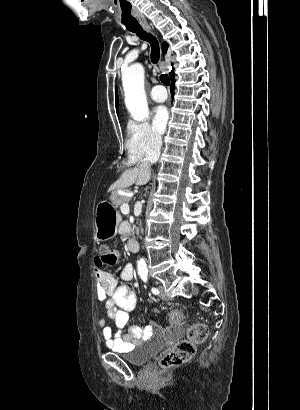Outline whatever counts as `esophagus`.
Listing matches in <instances>:
<instances>
[{
  "mask_svg": "<svg viewBox=\"0 0 300 410\" xmlns=\"http://www.w3.org/2000/svg\"><path fill=\"white\" fill-rule=\"evenodd\" d=\"M145 28H146V30H148V31H152V30H153V28H152L150 25L146 26Z\"/></svg>",
  "mask_w": 300,
  "mask_h": 410,
  "instance_id": "34e87169",
  "label": "esophagus"
}]
</instances>
